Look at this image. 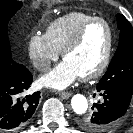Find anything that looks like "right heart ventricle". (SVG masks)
<instances>
[{"label": "right heart ventricle", "instance_id": "obj_1", "mask_svg": "<svg viewBox=\"0 0 133 133\" xmlns=\"http://www.w3.org/2000/svg\"><path fill=\"white\" fill-rule=\"evenodd\" d=\"M92 17L79 11L67 13L53 20L47 26L45 35L55 49L62 51L81 25Z\"/></svg>", "mask_w": 133, "mask_h": 133}]
</instances>
